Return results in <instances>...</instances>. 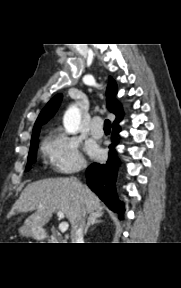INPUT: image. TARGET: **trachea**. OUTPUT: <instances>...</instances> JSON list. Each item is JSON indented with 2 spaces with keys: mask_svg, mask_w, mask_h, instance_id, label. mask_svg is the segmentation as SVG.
<instances>
[{
  "mask_svg": "<svg viewBox=\"0 0 181 288\" xmlns=\"http://www.w3.org/2000/svg\"><path fill=\"white\" fill-rule=\"evenodd\" d=\"M110 129H111V122L108 119H106L104 122V130L110 131Z\"/></svg>",
  "mask_w": 181,
  "mask_h": 288,
  "instance_id": "trachea-1",
  "label": "trachea"
}]
</instances>
